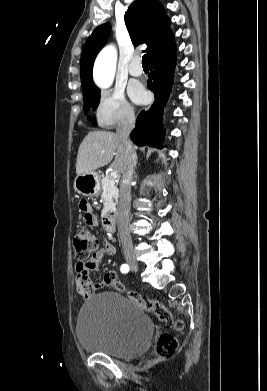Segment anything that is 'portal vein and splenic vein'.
<instances>
[{
    "label": "portal vein and splenic vein",
    "instance_id": "portal-vein-and-splenic-vein-1",
    "mask_svg": "<svg viewBox=\"0 0 267 391\" xmlns=\"http://www.w3.org/2000/svg\"><path fill=\"white\" fill-rule=\"evenodd\" d=\"M110 176L114 179H117L118 178V173L116 171H113L110 173Z\"/></svg>",
    "mask_w": 267,
    "mask_h": 391
}]
</instances>
